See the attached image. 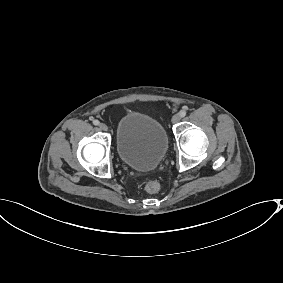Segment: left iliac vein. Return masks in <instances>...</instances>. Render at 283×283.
I'll return each mask as SVG.
<instances>
[{
	"label": "left iliac vein",
	"instance_id": "4c4485c4",
	"mask_svg": "<svg viewBox=\"0 0 283 283\" xmlns=\"http://www.w3.org/2000/svg\"><path fill=\"white\" fill-rule=\"evenodd\" d=\"M180 119H181V116H180L179 114H175V115L172 117L171 122H172L173 124H175V123H178V122L180 121Z\"/></svg>",
	"mask_w": 283,
	"mask_h": 283
}]
</instances>
